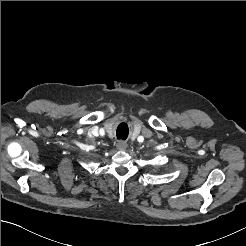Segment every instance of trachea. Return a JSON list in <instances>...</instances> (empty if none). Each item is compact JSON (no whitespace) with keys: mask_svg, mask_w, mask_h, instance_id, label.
<instances>
[{"mask_svg":"<svg viewBox=\"0 0 246 246\" xmlns=\"http://www.w3.org/2000/svg\"><path fill=\"white\" fill-rule=\"evenodd\" d=\"M127 135H128L127 132L120 131V130L117 131V138L118 139L125 140L127 138Z\"/></svg>","mask_w":246,"mask_h":246,"instance_id":"1","label":"trachea"}]
</instances>
